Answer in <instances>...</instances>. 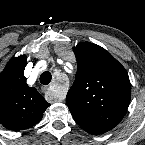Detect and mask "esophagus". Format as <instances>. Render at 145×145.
<instances>
[{
  "label": "esophagus",
  "mask_w": 145,
  "mask_h": 145,
  "mask_svg": "<svg viewBox=\"0 0 145 145\" xmlns=\"http://www.w3.org/2000/svg\"><path fill=\"white\" fill-rule=\"evenodd\" d=\"M43 89L45 90L46 93H50L54 99H56L58 101L62 99V95H59V94L51 91L52 90L51 86L46 85L43 87Z\"/></svg>",
  "instance_id": "1"
}]
</instances>
